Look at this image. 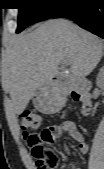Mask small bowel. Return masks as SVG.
I'll list each match as a JSON object with an SVG mask.
<instances>
[{
  "instance_id": "c3829d8e",
  "label": "small bowel",
  "mask_w": 104,
  "mask_h": 169,
  "mask_svg": "<svg viewBox=\"0 0 104 169\" xmlns=\"http://www.w3.org/2000/svg\"><path fill=\"white\" fill-rule=\"evenodd\" d=\"M62 132H66L77 143L78 150L81 153H87L89 150L88 143L85 140L83 134L78 131L76 125L72 121H63L60 125ZM58 138V137H57ZM56 138L47 141V143L53 142ZM81 169V168H78Z\"/></svg>"
}]
</instances>
